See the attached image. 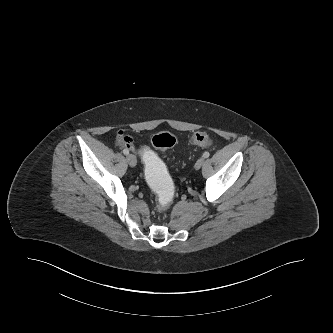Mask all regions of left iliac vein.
<instances>
[{"mask_svg": "<svg viewBox=\"0 0 333 333\" xmlns=\"http://www.w3.org/2000/svg\"><path fill=\"white\" fill-rule=\"evenodd\" d=\"M205 159L204 158H199L197 160V162L195 163V169H200L202 167V165L204 164Z\"/></svg>", "mask_w": 333, "mask_h": 333, "instance_id": "1", "label": "left iliac vein"}]
</instances>
